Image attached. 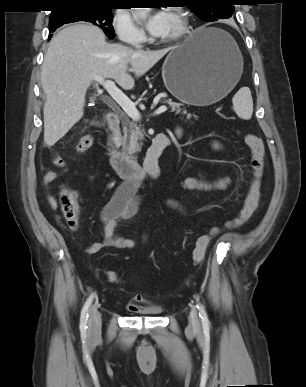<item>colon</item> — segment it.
<instances>
[{
    "label": "colon",
    "mask_w": 306,
    "mask_h": 387,
    "mask_svg": "<svg viewBox=\"0 0 306 387\" xmlns=\"http://www.w3.org/2000/svg\"><path fill=\"white\" fill-rule=\"evenodd\" d=\"M244 142L251 151L250 166L252 169V181L250 189L245 198L243 208L239 215L228 222L223 228H215L210 233L200 236L193 249V262L200 265L206 256V252L213 240L223 229H236L243 226L254 214L258 208L261 186L265 168V147L261 138L252 133L244 135ZM94 145V137L85 135L80 138L76 149L79 153L86 152ZM60 209L67 220L69 226L73 229L77 228L79 223V204L77 193L72 189H63L59 194ZM106 279L114 284H121L120 275L113 271L105 272Z\"/></svg>",
    "instance_id": "colon-1"
}]
</instances>
